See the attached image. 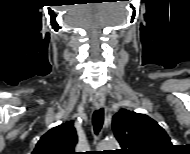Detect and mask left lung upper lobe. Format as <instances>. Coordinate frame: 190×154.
<instances>
[{"instance_id": "obj_1", "label": "left lung upper lobe", "mask_w": 190, "mask_h": 154, "mask_svg": "<svg viewBox=\"0 0 190 154\" xmlns=\"http://www.w3.org/2000/svg\"><path fill=\"white\" fill-rule=\"evenodd\" d=\"M121 154H163L172 147L165 130L145 114L120 109L112 120Z\"/></svg>"}]
</instances>
